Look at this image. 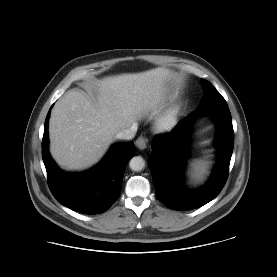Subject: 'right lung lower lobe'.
<instances>
[{
	"label": "right lung lower lobe",
	"mask_w": 277,
	"mask_h": 277,
	"mask_svg": "<svg viewBox=\"0 0 277 277\" xmlns=\"http://www.w3.org/2000/svg\"><path fill=\"white\" fill-rule=\"evenodd\" d=\"M47 114L42 140V158L49 188L62 205L84 214L107 211L118 199L124 171L134 156L132 142L114 144L102 161L82 173H66L52 160L48 152Z\"/></svg>",
	"instance_id": "1"
}]
</instances>
